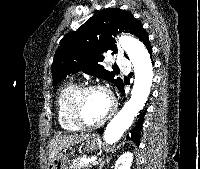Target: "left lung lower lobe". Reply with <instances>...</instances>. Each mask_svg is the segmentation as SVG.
<instances>
[{"label":"left lung lower lobe","instance_id":"obj_1","mask_svg":"<svg viewBox=\"0 0 200 169\" xmlns=\"http://www.w3.org/2000/svg\"><path fill=\"white\" fill-rule=\"evenodd\" d=\"M145 46L147 47L149 53H152V47L150 45L149 40L147 42H145ZM118 89L121 91L122 94H124V83H122ZM144 113L141 115L137 125L131 130V134L130 136H127V138L131 139L134 143H136L137 145H139V135H140V130L142 128V123H143V117H144ZM103 130H100L99 133H102Z\"/></svg>","mask_w":200,"mask_h":169}]
</instances>
